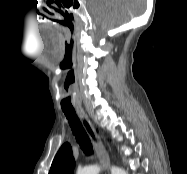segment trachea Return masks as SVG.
I'll list each match as a JSON object with an SVG mask.
<instances>
[{"label":"trachea","mask_w":187,"mask_h":174,"mask_svg":"<svg viewBox=\"0 0 187 174\" xmlns=\"http://www.w3.org/2000/svg\"><path fill=\"white\" fill-rule=\"evenodd\" d=\"M62 110L68 119L72 132L84 153L87 155L92 154V145L90 139L85 129L83 128L75 110L64 108Z\"/></svg>","instance_id":"trachea-1"}]
</instances>
